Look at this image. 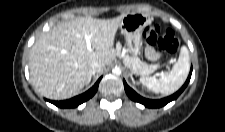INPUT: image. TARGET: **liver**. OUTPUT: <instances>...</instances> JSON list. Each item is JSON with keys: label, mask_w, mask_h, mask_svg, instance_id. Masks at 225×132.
Returning a JSON list of instances; mask_svg holds the SVG:
<instances>
[{"label": "liver", "mask_w": 225, "mask_h": 132, "mask_svg": "<svg viewBox=\"0 0 225 132\" xmlns=\"http://www.w3.org/2000/svg\"><path fill=\"white\" fill-rule=\"evenodd\" d=\"M125 16L79 17L43 33L30 50L29 70L36 90L53 100L78 94L89 79L92 61L110 65L115 59V35ZM85 35H92L90 42L95 50L87 49Z\"/></svg>", "instance_id": "liver-1"}]
</instances>
